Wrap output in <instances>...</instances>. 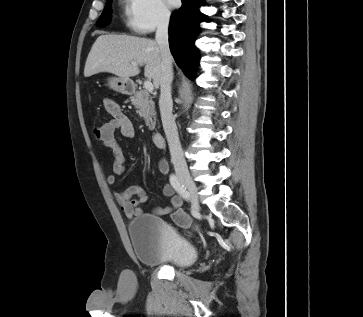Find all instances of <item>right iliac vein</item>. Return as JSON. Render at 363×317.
Here are the masks:
<instances>
[{
	"mask_svg": "<svg viewBox=\"0 0 363 317\" xmlns=\"http://www.w3.org/2000/svg\"><path fill=\"white\" fill-rule=\"evenodd\" d=\"M178 178H179L180 182L183 185H185L189 191L193 209L196 211L199 210L200 205H199L198 192H197V187H196L195 182L193 181V179L190 177L189 174L181 173L178 175Z\"/></svg>",
	"mask_w": 363,
	"mask_h": 317,
	"instance_id": "right-iliac-vein-1",
	"label": "right iliac vein"
}]
</instances>
